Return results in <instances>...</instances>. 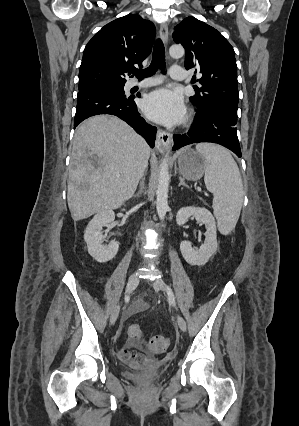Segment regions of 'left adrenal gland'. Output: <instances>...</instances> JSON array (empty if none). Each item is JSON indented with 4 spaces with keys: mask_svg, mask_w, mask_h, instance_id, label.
Returning <instances> with one entry per match:
<instances>
[{
    "mask_svg": "<svg viewBox=\"0 0 299 426\" xmlns=\"http://www.w3.org/2000/svg\"><path fill=\"white\" fill-rule=\"evenodd\" d=\"M179 180H180V182H179V186H184V187H187V188H188V185L184 182V180H183V178H182V177H179Z\"/></svg>",
    "mask_w": 299,
    "mask_h": 426,
    "instance_id": "obj_1",
    "label": "left adrenal gland"
}]
</instances>
